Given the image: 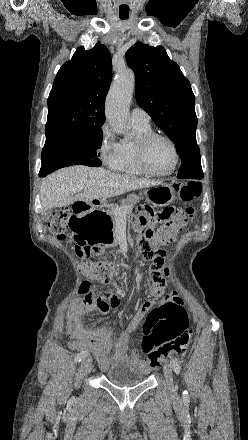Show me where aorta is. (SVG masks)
Segmentation results:
<instances>
[{"mask_svg": "<svg viewBox=\"0 0 248 440\" xmlns=\"http://www.w3.org/2000/svg\"><path fill=\"white\" fill-rule=\"evenodd\" d=\"M134 88V73L131 70H124L118 74L106 100L105 114L111 128L125 137L131 136L127 129V122L129 120V104Z\"/></svg>", "mask_w": 248, "mask_h": 440, "instance_id": "762f6f07", "label": "aorta"}]
</instances>
